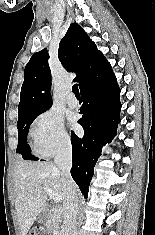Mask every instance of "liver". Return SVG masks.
Returning a JSON list of instances; mask_svg holds the SVG:
<instances>
[{
  "label": "liver",
  "mask_w": 155,
  "mask_h": 235,
  "mask_svg": "<svg viewBox=\"0 0 155 235\" xmlns=\"http://www.w3.org/2000/svg\"><path fill=\"white\" fill-rule=\"evenodd\" d=\"M44 187L64 198L61 172L52 162L19 161L14 172L15 209L21 235H27L46 203Z\"/></svg>",
  "instance_id": "obj_1"
}]
</instances>
